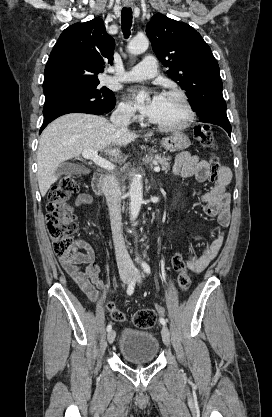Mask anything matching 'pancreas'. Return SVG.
Segmentation results:
<instances>
[{
  "label": "pancreas",
  "mask_w": 272,
  "mask_h": 417,
  "mask_svg": "<svg viewBox=\"0 0 272 417\" xmlns=\"http://www.w3.org/2000/svg\"><path fill=\"white\" fill-rule=\"evenodd\" d=\"M150 161L154 164H159L164 172H168L170 170L171 164L169 162V158L165 156L154 155L150 158Z\"/></svg>",
  "instance_id": "pancreas-1"
}]
</instances>
